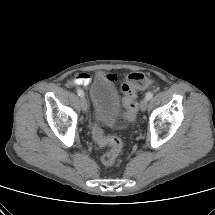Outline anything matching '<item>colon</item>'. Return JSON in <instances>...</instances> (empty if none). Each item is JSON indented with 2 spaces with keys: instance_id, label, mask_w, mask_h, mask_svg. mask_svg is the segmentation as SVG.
Masks as SVG:
<instances>
[{
  "instance_id": "obj_1",
  "label": "colon",
  "mask_w": 215,
  "mask_h": 215,
  "mask_svg": "<svg viewBox=\"0 0 215 215\" xmlns=\"http://www.w3.org/2000/svg\"><path fill=\"white\" fill-rule=\"evenodd\" d=\"M150 84L151 80L144 74L132 73L122 85L125 122H131L136 118L138 112L137 90L144 89ZM92 133L98 145L109 148L101 158L102 164L107 167L112 166L122 150V140L116 136L106 135L98 125H94Z\"/></svg>"
}]
</instances>
